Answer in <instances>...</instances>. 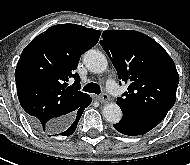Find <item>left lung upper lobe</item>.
I'll return each mask as SVG.
<instances>
[{
  "label": "left lung upper lobe",
  "mask_w": 190,
  "mask_h": 165,
  "mask_svg": "<svg viewBox=\"0 0 190 165\" xmlns=\"http://www.w3.org/2000/svg\"><path fill=\"white\" fill-rule=\"evenodd\" d=\"M100 45L111 59L118 78L129 82L119 97L121 109L165 117L176 101L179 75L165 49L134 30H106Z\"/></svg>",
  "instance_id": "left-lung-upper-lobe-1"
}]
</instances>
